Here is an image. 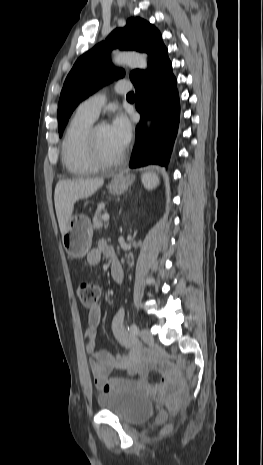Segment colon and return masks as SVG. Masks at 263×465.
Here are the masks:
<instances>
[{"mask_svg": "<svg viewBox=\"0 0 263 465\" xmlns=\"http://www.w3.org/2000/svg\"><path fill=\"white\" fill-rule=\"evenodd\" d=\"M77 292L81 304L86 308L94 307L100 297L99 286L89 281L81 282ZM181 389V383L175 379L173 382L166 385L158 395V397L167 401V406L172 412L176 411L181 403Z\"/></svg>", "mask_w": 263, "mask_h": 465, "instance_id": "5ec220e1", "label": "colon"}]
</instances>
